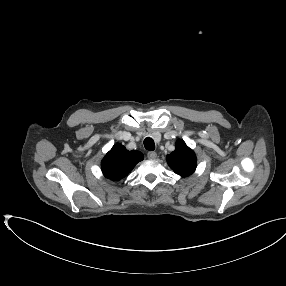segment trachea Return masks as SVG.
Segmentation results:
<instances>
[{
  "label": "trachea",
  "instance_id": "1",
  "mask_svg": "<svg viewBox=\"0 0 286 286\" xmlns=\"http://www.w3.org/2000/svg\"><path fill=\"white\" fill-rule=\"evenodd\" d=\"M144 147L149 151H153L155 149V143L152 138H145Z\"/></svg>",
  "mask_w": 286,
  "mask_h": 286
}]
</instances>
